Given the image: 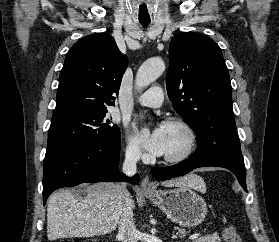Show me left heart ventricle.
<instances>
[{
  "label": "left heart ventricle",
  "mask_w": 279,
  "mask_h": 242,
  "mask_svg": "<svg viewBox=\"0 0 279 242\" xmlns=\"http://www.w3.org/2000/svg\"><path fill=\"white\" fill-rule=\"evenodd\" d=\"M166 137V149L164 155L177 154L185 146V134L176 126L164 125Z\"/></svg>",
  "instance_id": "obj_1"
}]
</instances>
